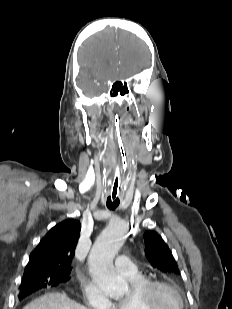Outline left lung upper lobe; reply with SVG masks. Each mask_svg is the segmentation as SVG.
<instances>
[{
    "instance_id": "left-lung-upper-lobe-1",
    "label": "left lung upper lobe",
    "mask_w": 232,
    "mask_h": 309,
    "mask_svg": "<svg viewBox=\"0 0 232 309\" xmlns=\"http://www.w3.org/2000/svg\"><path fill=\"white\" fill-rule=\"evenodd\" d=\"M144 242L147 259L154 268L163 272L180 274L178 265L169 247L158 233L147 231L144 234Z\"/></svg>"
}]
</instances>
